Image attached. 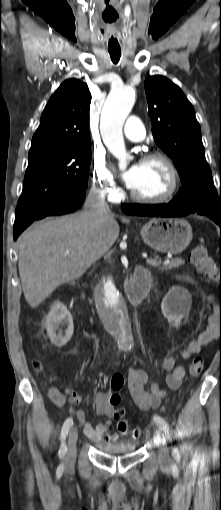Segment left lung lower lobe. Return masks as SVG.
Returning a JSON list of instances; mask_svg holds the SVG:
<instances>
[{"label":"left lung lower lobe","instance_id":"left-lung-lower-lobe-1","mask_svg":"<svg viewBox=\"0 0 221 510\" xmlns=\"http://www.w3.org/2000/svg\"><path fill=\"white\" fill-rule=\"evenodd\" d=\"M121 208L129 215L152 217H181L189 214L206 215L221 227V209L216 207L189 209L168 203L160 205L123 204Z\"/></svg>","mask_w":221,"mask_h":510}]
</instances>
